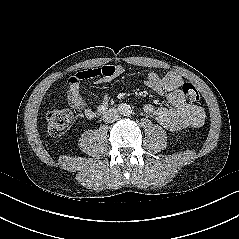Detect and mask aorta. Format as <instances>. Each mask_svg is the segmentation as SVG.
<instances>
[{
    "mask_svg": "<svg viewBox=\"0 0 239 239\" xmlns=\"http://www.w3.org/2000/svg\"><path fill=\"white\" fill-rule=\"evenodd\" d=\"M120 113L124 116H128L132 113L131 107L127 104H123L120 108Z\"/></svg>",
    "mask_w": 239,
    "mask_h": 239,
    "instance_id": "1",
    "label": "aorta"
}]
</instances>
